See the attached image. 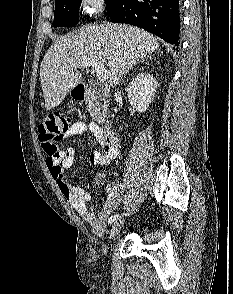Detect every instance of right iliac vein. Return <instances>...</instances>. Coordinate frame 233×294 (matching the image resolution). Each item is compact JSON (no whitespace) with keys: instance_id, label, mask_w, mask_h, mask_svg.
<instances>
[{"instance_id":"right-iliac-vein-1","label":"right iliac vein","mask_w":233,"mask_h":294,"mask_svg":"<svg viewBox=\"0 0 233 294\" xmlns=\"http://www.w3.org/2000/svg\"><path fill=\"white\" fill-rule=\"evenodd\" d=\"M124 224V220H117L112 228H111V231H110V239H114L116 237V235L119 233L120 229L122 228Z\"/></svg>"}]
</instances>
